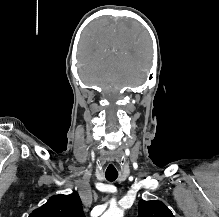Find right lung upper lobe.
<instances>
[{
  "mask_svg": "<svg viewBox=\"0 0 219 217\" xmlns=\"http://www.w3.org/2000/svg\"><path fill=\"white\" fill-rule=\"evenodd\" d=\"M29 217H85L80 197L71 195L52 196L46 204L34 210Z\"/></svg>",
  "mask_w": 219,
  "mask_h": 217,
  "instance_id": "right-lung-upper-lobe-1",
  "label": "right lung upper lobe"
}]
</instances>
